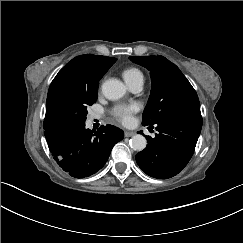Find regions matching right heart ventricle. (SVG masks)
<instances>
[{"mask_svg":"<svg viewBox=\"0 0 243 243\" xmlns=\"http://www.w3.org/2000/svg\"><path fill=\"white\" fill-rule=\"evenodd\" d=\"M121 75L129 87L143 84L144 82V73L138 67H128L122 71Z\"/></svg>","mask_w":243,"mask_h":243,"instance_id":"1","label":"right heart ventricle"}]
</instances>
